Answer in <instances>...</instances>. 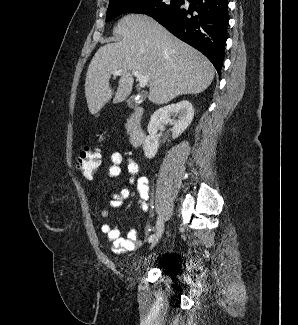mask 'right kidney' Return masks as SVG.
<instances>
[{"mask_svg":"<svg viewBox=\"0 0 298 325\" xmlns=\"http://www.w3.org/2000/svg\"><path fill=\"white\" fill-rule=\"evenodd\" d=\"M177 116V118H174ZM194 116V108L189 100H180L175 104L161 106L151 114L147 130L149 132L143 142V150L147 158H153L158 152L159 146V126L161 124H172V138L180 136L187 126H189Z\"/></svg>","mask_w":298,"mask_h":325,"instance_id":"1","label":"right kidney"}]
</instances>
